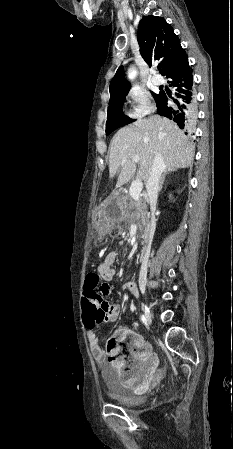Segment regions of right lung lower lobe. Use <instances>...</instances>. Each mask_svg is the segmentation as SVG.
Instances as JSON below:
<instances>
[{
  "label": "right lung lower lobe",
  "instance_id": "right-lung-lower-lobe-1",
  "mask_svg": "<svg viewBox=\"0 0 233 449\" xmlns=\"http://www.w3.org/2000/svg\"><path fill=\"white\" fill-rule=\"evenodd\" d=\"M170 86L175 89L173 95L160 92L156 101L157 112L175 121L186 135L192 136L196 117V105L193 91V76L188 61L179 69L171 72Z\"/></svg>",
  "mask_w": 233,
  "mask_h": 449
}]
</instances>
